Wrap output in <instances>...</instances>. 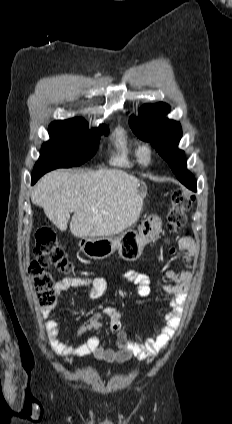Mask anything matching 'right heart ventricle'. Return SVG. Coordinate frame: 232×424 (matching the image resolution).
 <instances>
[{
	"label": "right heart ventricle",
	"instance_id": "right-heart-ventricle-1",
	"mask_svg": "<svg viewBox=\"0 0 232 424\" xmlns=\"http://www.w3.org/2000/svg\"><path fill=\"white\" fill-rule=\"evenodd\" d=\"M114 151L111 164L119 167H130L135 163H142L139 157V145L130 144L123 129L116 130L113 138Z\"/></svg>",
	"mask_w": 232,
	"mask_h": 424
}]
</instances>
